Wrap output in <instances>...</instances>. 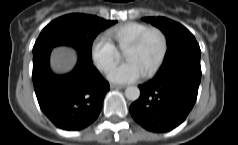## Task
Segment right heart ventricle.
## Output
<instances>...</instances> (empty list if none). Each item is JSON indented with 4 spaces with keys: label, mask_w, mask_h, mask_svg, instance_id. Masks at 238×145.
<instances>
[{
    "label": "right heart ventricle",
    "mask_w": 238,
    "mask_h": 145,
    "mask_svg": "<svg viewBox=\"0 0 238 145\" xmlns=\"http://www.w3.org/2000/svg\"><path fill=\"white\" fill-rule=\"evenodd\" d=\"M150 26L141 22H127L111 28L108 36L115 42L119 49L124 50L135 38Z\"/></svg>",
    "instance_id": "right-heart-ventricle-1"
}]
</instances>
